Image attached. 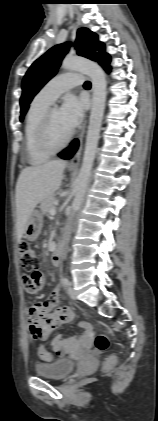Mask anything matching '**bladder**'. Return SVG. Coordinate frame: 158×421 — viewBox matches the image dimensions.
Segmentation results:
<instances>
[{
	"label": "bladder",
	"instance_id": "bladder-1",
	"mask_svg": "<svg viewBox=\"0 0 158 421\" xmlns=\"http://www.w3.org/2000/svg\"><path fill=\"white\" fill-rule=\"evenodd\" d=\"M75 368V363L69 358H62L51 363H40L35 366V373L44 378L63 379Z\"/></svg>",
	"mask_w": 158,
	"mask_h": 421
}]
</instances>
